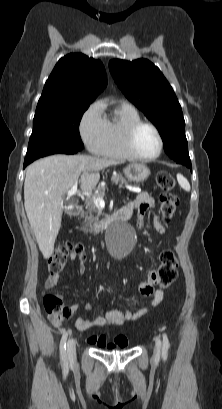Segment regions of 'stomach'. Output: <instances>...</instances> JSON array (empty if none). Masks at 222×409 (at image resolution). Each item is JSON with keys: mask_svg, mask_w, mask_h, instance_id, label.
Listing matches in <instances>:
<instances>
[{"mask_svg": "<svg viewBox=\"0 0 222 409\" xmlns=\"http://www.w3.org/2000/svg\"><path fill=\"white\" fill-rule=\"evenodd\" d=\"M123 171L125 176L134 182H142L150 175L149 168L143 163H131Z\"/></svg>", "mask_w": 222, "mask_h": 409, "instance_id": "0dacf381", "label": "stomach"}]
</instances>
